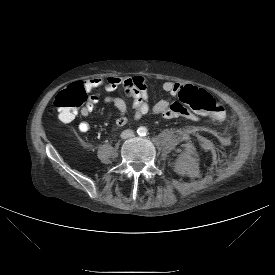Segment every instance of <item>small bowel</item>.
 Here are the masks:
<instances>
[{
	"instance_id": "c3829d8e",
	"label": "small bowel",
	"mask_w": 275,
	"mask_h": 275,
	"mask_svg": "<svg viewBox=\"0 0 275 275\" xmlns=\"http://www.w3.org/2000/svg\"><path fill=\"white\" fill-rule=\"evenodd\" d=\"M147 84L148 81L143 76H110L107 78L88 79L82 83L84 90L87 92H95L88 96L87 103L83 107L81 113L84 116L88 115L100 101H103L106 104L114 106L118 110L119 115L117 116L115 123L117 126H124L128 122V117L126 115L127 104L123 98L110 94L119 88H123L125 92L133 98L134 120H139L148 113L162 115L167 119L187 116L192 120H196V116L191 114L177 100L163 99L151 106L149 104ZM162 88L167 94L175 98L179 94L182 84L174 81H166L163 83ZM100 90L105 91L107 95L102 96ZM60 120L68 122L62 118H60ZM78 128L82 132H87L90 129V124L83 120L78 124Z\"/></svg>"
}]
</instances>
